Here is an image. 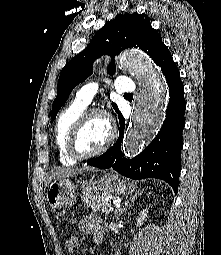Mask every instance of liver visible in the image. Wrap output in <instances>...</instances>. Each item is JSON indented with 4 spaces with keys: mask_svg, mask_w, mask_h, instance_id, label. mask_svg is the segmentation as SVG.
<instances>
[{
    "mask_svg": "<svg viewBox=\"0 0 221 255\" xmlns=\"http://www.w3.org/2000/svg\"><path fill=\"white\" fill-rule=\"evenodd\" d=\"M83 170H93L91 167H84ZM82 169L78 168H59L47 179L45 185L47 186L53 179L68 178L80 173Z\"/></svg>",
    "mask_w": 221,
    "mask_h": 255,
    "instance_id": "1",
    "label": "liver"
}]
</instances>
